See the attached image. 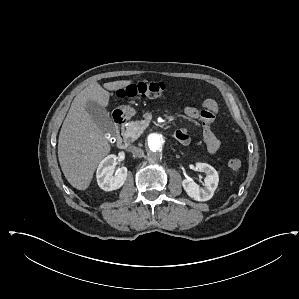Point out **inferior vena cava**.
I'll return each mask as SVG.
<instances>
[{
	"instance_id": "1",
	"label": "inferior vena cava",
	"mask_w": 299,
	"mask_h": 299,
	"mask_svg": "<svg viewBox=\"0 0 299 299\" xmlns=\"http://www.w3.org/2000/svg\"><path fill=\"white\" fill-rule=\"evenodd\" d=\"M128 151H130L134 156L139 158L143 157L144 155V151L141 148H138L136 146H130L128 148Z\"/></svg>"
}]
</instances>
